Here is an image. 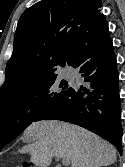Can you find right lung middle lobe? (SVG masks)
I'll use <instances>...</instances> for the list:
<instances>
[{"label": "right lung middle lobe", "instance_id": "1", "mask_svg": "<svg viewBox=\"0 0 125 167\" xmlns=\"http://www.w3.org/2000/svg\"><path fill=\"white\" fill-rule=\"evenodd\" d=\"M72 87L57 75L0 100V147L14 140L51 103L66 98Z\"/></svg>", "mask_w": 125, "mask_h": 167}]
</instances>
